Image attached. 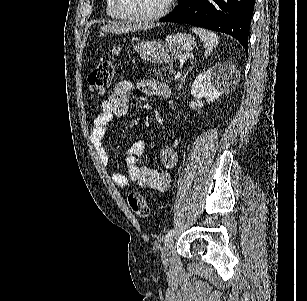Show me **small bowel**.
Instances as JSON below:
<instances>
[{"instance_id":"obj_1","label":"small bowel","mask_w":307,"mask_h":301,"mask_svg":"<svg viewBox=\"0 0 307 301\" xmlns=\"http://www.w3.org/2000/svg\"><path fill=\"white\" fill-rule=\"evenodd\" d=\"M132 85L128 81L120 82L114 93L101 105V112L95 118L91 130V143L103 165L108 164V155L103 146L109 123L116 117L125 115L130 107L128 92ZM138 89L148 96L166 95L168 89L165 85L152 81L141 80L137 84ZM145 151L143 140L135 141L127 152V175L115 173L112 180L119 188H126L130 183H136L142 188L154 189L160 192L168 190L170 186L169 171L176 166L177 155L173 148L165 146L160 149L159 162L161 169L156 170L138 165V159Z\"/></svg>"}]
</instances>
